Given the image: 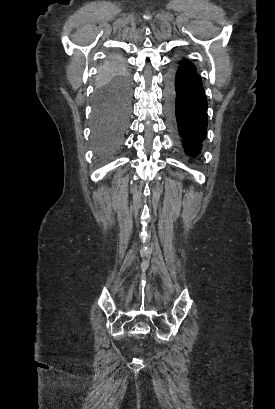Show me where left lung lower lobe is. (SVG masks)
Returning <instances> with one entry per match:
<instances>
[{
    "instance_id": "left-lung-lower-lobe-1",
    "label": "left lung lower lobe",
    "mask_w": 275,
    "mask_h": 409,
    "mask_svg": "<svg viewBox=\"0 0 275 409\" xmlns=\"http://www.w3.org/2000/svg\"><path fill=\"white\" fill-rule=\"evenodd\" d=\"M167 117L172 134L180 139L187 155L195 157L207 130V98L201 76L178 62L167 74Z\"/></svg>"
}]
</instances>
